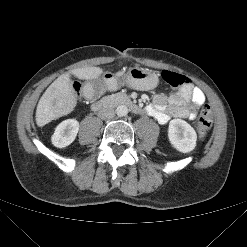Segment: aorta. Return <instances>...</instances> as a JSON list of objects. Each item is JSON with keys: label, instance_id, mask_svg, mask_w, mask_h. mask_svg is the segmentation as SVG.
Returning a JSON list of instances; mask_svg holds the SVG:
<instances>
[{"label": "aorta", "instance_id": "762f6f07", "mask_svg": "<svg viewBox=\"0 0 247 247\" xmlns=\"http://www.w3.org/2000/svg\"><path fill=\"white\" fill-rule=\"evenodd\" d=\"M116 113L118 116H126L128 114V107L126 105H119L116 108Z\"/></svg>", "mask_w": 247, "mask_h": 247}]
</instances>
